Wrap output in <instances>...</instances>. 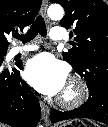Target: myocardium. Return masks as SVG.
<instances>
[{"mask_svg": "<svg viewBox=\"0 0 108 127\" xmlns=\"http://www.w3.org/2000/svg\"><path fill=\"white\" fill-rule=\"evenodd\" d=\"M68 91L57 98V103L65 109H74L81 106L87 99V86L84 80L78 76H72L68 80Z\"/></svg>", "mask_w": 108, "mask_h": 127, "instance_id": "f54148a6", "label": "myocardium"}]
</instances>
